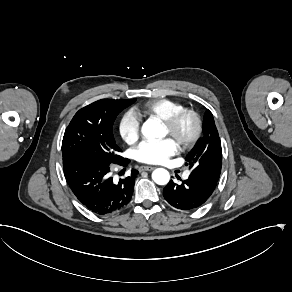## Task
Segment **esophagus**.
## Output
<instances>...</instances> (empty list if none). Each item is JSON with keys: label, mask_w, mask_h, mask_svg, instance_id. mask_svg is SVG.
Segmentation results:
<instances>
[{"label": "esophagus", "mask_w": 292, "mask_h": 292, "mask_svg": "<svg viewBox=\"0 0 292 292\" xmlns=\"http://www.w3.org/2000/svg\"><path fill=\"white\" fill-rule=\"evenodd\" d=\"M154 169H155V167H153V166H140L139 167V172H142V171H152Z\"/></svg>", "instance_id": "obj_1"}]
</instances>
